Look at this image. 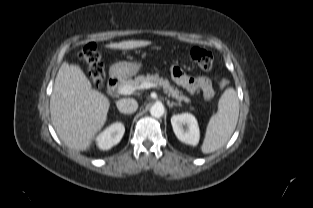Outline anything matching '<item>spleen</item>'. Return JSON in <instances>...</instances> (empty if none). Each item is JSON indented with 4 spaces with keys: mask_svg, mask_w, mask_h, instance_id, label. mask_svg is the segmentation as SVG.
<instances>
[{
    "mask_svg": "<svg viewBox=\"0 0 313 208\" xmlns=\"http://www.w3.org/2000/svg\"><path fill=\"white\" fill-rule=\"evenodd\" d=\"M239 100L233 88H227L221 95L218 111L212 115L206 128L201 146L204 154L215 152L231 138L238 121Z\"/></svg>",
    "mask_w": 313,
    "mask_h": 208,
    "instance_id": "1",
    "label": "spleen"
}]
</instances>
